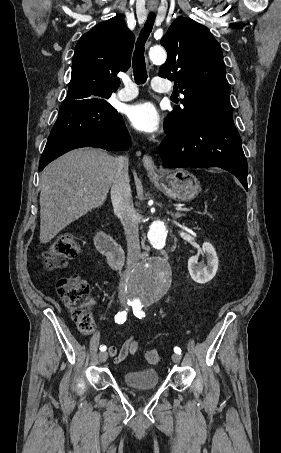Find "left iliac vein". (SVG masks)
<instances>
[{
  "label": "left iliac vein",
  "instance_id": "4c4485c4",
  "mask_svg": "<svg viewBox=\"0 0 281 453\" xmlns=\"http://www.w3.org/2000/svg\"><path fill=\"white\" fill-rule=\"evenodd\" d=\"M181 359H182L181 355H179V354H172L171 360H172V362H175V364H176V362H180Z\"/></svg>",
  "mask_w": 281,
  "mask_h": 453
}]
</instances>
